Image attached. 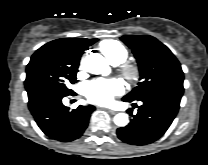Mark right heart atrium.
<instances>
[{
  "label": "right heart atrium",
  "instance_id": "obj_1",
  "mask_svg": "<svg viewBox=\"0 0 208 165\" xmlns=\"http://www.w3.org/2000/svg\"><path fill=\"white\" fill-rule=\"evenodd\" d=\"M83 68V61H81V64H80V69Z\"/></svg>",
  "mask_w": 208,
  "mask_h": 165
}]
</instances>
